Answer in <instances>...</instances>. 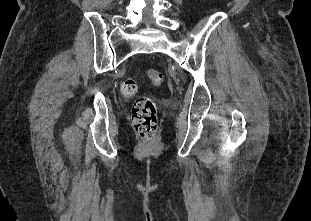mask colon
Segmentation results:
<instances>
[{
	"instance_id": "5ec220e1",
	"label": "colon",
	"mask_w": 311,
	"mask_h": 221,
	"mask_svg": "<svg viewBox=\"0 0 311 221\" xmlns=\"http://www.w3.org/2000/svg\"><path fill=\"white\" fill-rule=\"evenodd\" d=\"M148 76L153 86L164 83V75L158 70H149ZM138 82L135 76L125 78L121 83V92L124 97H133L138 91ZM156 103L149 96L138 97L132 108V123L143 141H156L157 130Z\"/></svg>"
}]
</instances>
